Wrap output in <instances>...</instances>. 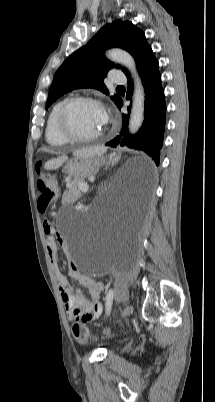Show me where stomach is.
<instances>
[{"instance_id":"obj_1","label":"stomach","mask_w":215,"mask_h":402,"mask_svg":"<svg viewBox=\"0 0 215 402\" xmlns=\"http://www.w3.org/2000/svg\"><path fill=\"white\" fill-rule=\"evenodd\" d=\"M102 162L93 160L86 155L79 156L67 162L64 172L77 181H82L87 177L97 173Z\"/></svg>"}]
</instances>
